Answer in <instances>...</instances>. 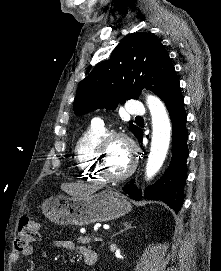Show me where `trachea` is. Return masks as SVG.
Instances as JSON below:
<instances>
[{
	"instance_id": "1",
	"label": "trachea",
	"mask_w": 221,
	"mask_h": 271,
	"mask_svg": "<svg viewBox=\"0 0 221 271\" xmlns=\"http://www.w3.org/2000/svg\"><path fill=\"white\" fill-rule=\"evenodd\" d=\"M136 118H140V119H142V116H139V117H136Z\"/></svg>"
}]
</instances>
